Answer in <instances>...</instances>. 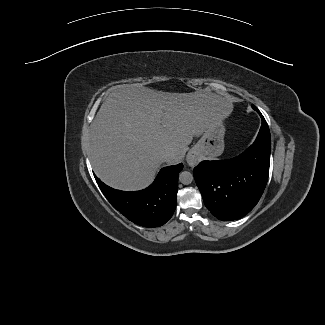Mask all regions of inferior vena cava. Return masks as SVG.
Listing matches in <instances>:
<instances>
[{
	"instance_id": "inferior-vena-cava-1",
	"label": "inferior vena cava",
	"mask_w": 325,
	"mask_h": 325,
	"mask_svg": "<svg viewBox=\"0 0 325 325\" xmlns=\"http://www.w3.org/2000/svg\"><path fill=\"white\" fill-rule=\"evenodd\" d=\"M173 154L171 151L167 150V151H163L161 154V158L164 162H168L170 161V159L172 158Z\"/></svg>"
}]
</instances>
